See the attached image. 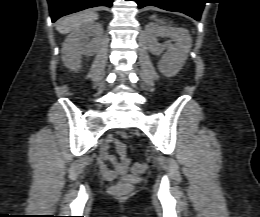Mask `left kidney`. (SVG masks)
<instances>
[{
	"instance_id": "left-kidney-1",
	"label": "left kidney",
	"mask_w": 260,
	"mask_h": 217,
	"mask_svg": "<svg viewBox=\"0 0 260 217\" xmlns=\"http://www.w3.org/2000/svg\"><path fill=\"white\" fill-rule=\"evenodd\" d=\"M151 35L148 40V48L154 55H160L165 49L166 54L158 63L159 71L167 76H175L183 67L188 57L189 45L188 41L180 36V32L175 29H167L159 27L153 23L148 25ZM158 36H168L176 41V44H160Z\"/></svg>"
}]
</instances>
